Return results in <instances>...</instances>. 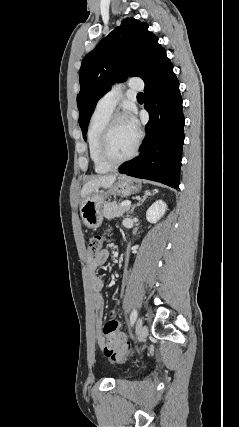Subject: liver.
Here are the masks:
<instances>
[{
  "instance_id": "liver-1",
  "label": "liver",
  "mask_w": 239,
  "mask_h": 427,
  "mask_svg": "<svg viewBox=\"0 0 239 427\" xmlns=\"http://www.w3.org/2000/svg\"><path fill=\"white\" fill-rule=\"evenodd\" d=\"M116 180V175H104L94 178L84 184L81 190V198L85 199L88 195L98 191L100 187L110 188Z\"/></svg>"
}]
</instances>
